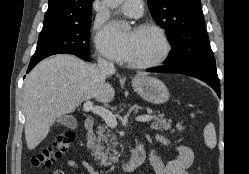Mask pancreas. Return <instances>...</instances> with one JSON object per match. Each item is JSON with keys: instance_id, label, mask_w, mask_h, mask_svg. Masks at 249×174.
<instances>
[{"instance_id": "pancreas-1", "label": "pancreas", "mask_w": 249, "mask_h": 174, "mask_svg": "<svg viewBox=\"0 0 249 174\" xmlns=\"http://www.w3.org/2000/svg\"><path fill=\"white\" fill-rule=\"evenodd\" d=\"M151 128L155 130H168L171 128V120L164 118L163 115H154ZM179 131H182L181 123L176 125ZM173 132V131H172ZM97 137L93 138L94 143L90 146L96 160L100 161L102 166H110L118 160L115 148L117 146L116 136L111 132L108 126H100L96 132ZM112 152V153H110Z\"/></svg>"}]
</instances>
